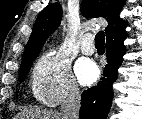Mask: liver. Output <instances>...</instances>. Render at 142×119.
I'll list each match as a JSON object with an SVG mask.
<instances>
[{"mask_svg": "<svg viewBox=\"0 0 142 119\" xmlns=\"http://www.w3.org/2000/svg\"><path fill=\"white\" fill-rule=\"evenodd\" d=\"M21 119H63L62 114L40 109L24 110Z\"/></svg>", "mask_w": 142, "mask_h": 119, "instance_id": "6515ba94", "label": "liver"}]
</instances>
